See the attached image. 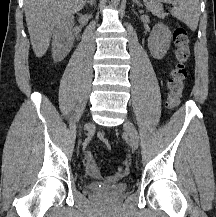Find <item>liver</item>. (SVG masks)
<instances>
[{
    "label": "liver",
    "instance_id": "1",
    "mask_svg": "<svg viewBox=\"0 0 216 217\" xmlns=\"http://www.w3.org/2000/svg\"><path fill=\"white\" fill-rule=\"evenodd\" d=\"M86 0H24V10L33 51L42 57L50 44L54 27L80 11Z\"/></svg>",
    "mask_w": 216,
    "mask_h": 217
}]
</instances>
